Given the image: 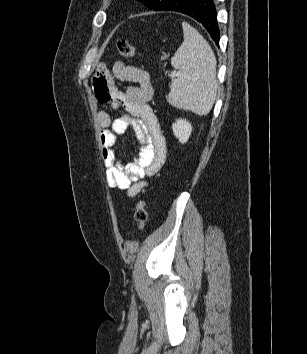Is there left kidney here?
<instances>
[{
    "instance_id": "5707ae66",
    "label": "left kidney",
    "mask_w": 307,
    "mask_h": 354,
    "mask_svg": "<svg viewBox=\"0 0 307 354\" xmlns=\"http://www.w3.org/2000/svg\"><path fill=\"white\" fill-rule=\"evenodd\" d=\"M172 130L179 142L184 144L191 135L192 126L186 119H177L176 122L172 124Z\"/></svg>"
}]
</instances>
